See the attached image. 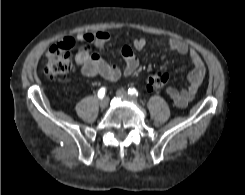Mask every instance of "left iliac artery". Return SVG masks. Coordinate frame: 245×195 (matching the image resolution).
I'll use <instances>...</instances> for the list:
<instances>
[{"label":"left iliac artery","instance_id":"1","mask_svg":"<svg viewBox=\"0 0 245 195\" xmlns=\"http://www.w3.org/2000/svg\"><path fill=\"white\" fill-rule=\"evenodd\" d=\"M128 94L138 96V92L135 88H129Z\"/></svg>","mask_w":245,"mask_h":195}]
</instances>
